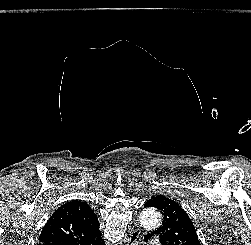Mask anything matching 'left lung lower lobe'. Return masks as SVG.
<instances>
[{
	"label": "left lung lower lobe",
	"mask_w": 251,
	"mask_h": 245,
	"mask_svg": "<svg viewBox=\"0 0 251 245\" xmlns=\"http://www.w3.org/2000/svg\"><path fill=\"white\" fill-rule=\"evenodd\" d=\"M153 236L152 233H149L147 235H145L144 240L147 242L149 238H151ZM162 245H167L166 243H164L163 241H160Z\"/></svg>",
	"instance_id": "obj_1"
}]
</instances>
